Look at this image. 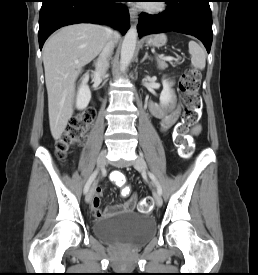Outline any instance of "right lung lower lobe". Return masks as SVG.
<instances>
[{
    "instance_id": "obj_1",
    "label": "right lung lower lobe",
    "mask_w": 258,
    "mask_h": 275,
    "mask_svg": "<svg viewBox=\"0 0 258 275\" xmlns=\"http://www.w3.org/2000/svg\"><path fill=\"white\" fill-rule=\"evenodd\" d=\"M119 0H42L39 15V47L62 26L75 23L109 24L123 35L130 27L128 9L123 5L108 9Z\"/></svg>"
}]
</instances>
